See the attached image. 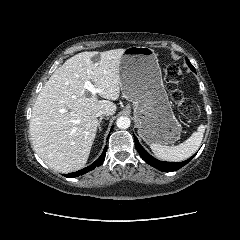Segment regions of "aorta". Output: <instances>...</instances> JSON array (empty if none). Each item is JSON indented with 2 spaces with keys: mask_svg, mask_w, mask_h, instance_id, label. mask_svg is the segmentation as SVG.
<instances>
[{
  "mask_svg": "<svg viewBox=\"0 0 240 240\" xmlns=\"http://www.w3.org/2000/svg\"><path fill=\"white\" fill-rule=\"evenodd\" d=\"M130 124H131L130 118L126 116H121L116 121V125L119 129H127L130 127Z\"/></svg>",
  "mask_w": 240,
  "mask_h": 240,
  "instance_id": "obj_1",
  "label": "aorta"
}]
</instances>
